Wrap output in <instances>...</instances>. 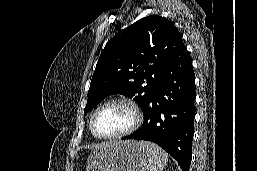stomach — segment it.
Returning a JSON list of instances; mask_svg holds the SVG:
<instances>
[{
	"label": "stomach",
	"mask_w": 257,
	"mask_h": 171,
	"mask_svg": "<svg viewBox=\"0 0 257 171\" xmlns=\"http://www.w3.org/2000/svg\"><path fill=\"white\" fill-rule=\"evenodd\" d=\"M145 149L135 140L118 141L95 150L86 171H146Z\"/></svg>",
	"instance_id": "stomach-1"
}]
</instances>
